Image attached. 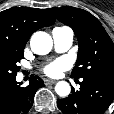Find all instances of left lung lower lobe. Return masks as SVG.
Listing matches in <instances>:
<instances>
[{
	"mask_svg": "<svg viewBox=\"0 0 114 114\" xmlns=\"http://www.w3.org/2000/svg\"><path fill=\"white\" fill-rule=\"evenodd\" d=\"M79 84L80 90L73 88L71 95L57 100L58 108L64 114H103L114 99V81L84 77Z\"/></svg>",
	"mask_w": 114,
	"mask_h": 114,
	"instance_id": "0a47b994",
	"label": "left lung lower lobe"
}]
</instances>
